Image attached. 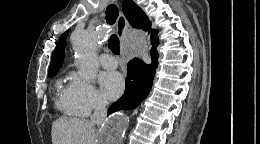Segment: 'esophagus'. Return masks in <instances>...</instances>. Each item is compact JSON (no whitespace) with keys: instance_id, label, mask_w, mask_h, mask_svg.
<instances>
[{"instance_id":"obj_1","label":"esophagus","mask_w":260,"mask_h":144,"mask_svg":"<svg viewBox=\"0 0 260 144\" xmlns=\"http://www.w3.org/2000/svg\"><path fill=\"white\" fill-rule=\"evenodd\" d=\"M129 28L128 22L123 15V13H120L117 19V31L120 38H123L124 35L127 33Z\"/></svg>"}]
</instances>
